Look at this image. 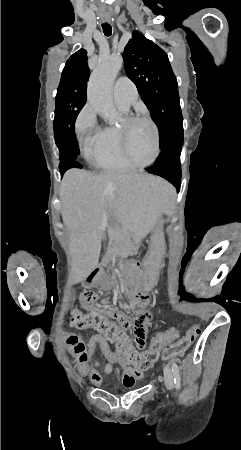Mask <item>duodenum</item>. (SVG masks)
I'll list each match as a JSON object with an SVG mask.
<instances>
[{"mask_svg":"<svg viewBox=\"0 0 241 450\" xmlns=\"http://www.w3.org/2000/svg\"><path fill=\"white\" fill-rule=\"evenodd\" d=\"M139 264L136 261H129L125 264V269L128 271L129 275L127 276L125 280V285L129 289H133L137 285V280L135 277V272L138 270ZM102 269L100 268H94L92 269L88 275L86 276V284L88 286H93L97 284L102 276Z\"/></svg>","mask_w":241,"mask_h":450,"instance_id":"duodenum-1","label":"duodenum"}]
</instances>
